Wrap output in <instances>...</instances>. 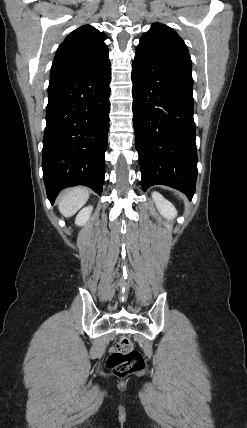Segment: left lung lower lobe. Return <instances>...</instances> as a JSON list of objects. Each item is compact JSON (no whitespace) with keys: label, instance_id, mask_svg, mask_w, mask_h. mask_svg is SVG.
Wrapping results in <instances>:
<instances>
[{"label":"left lung lower lobe","instance_id":"1","mask_svg":"<svg viewBox=\"0 0 247 428\" xmlns=\"http://www.w3.org/2000/svg\"><path fill=\"white\" fill-rule=\"evenodd\" d=\"M133 124L144 190L164 184L195 193L197 151L190 71L136 50Z\"/></svg>","mask_w":247,"mask_h":428}]
</instances>
